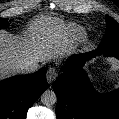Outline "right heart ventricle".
I'll return each mask as SVG.
<instances>
[{"mask_svg": "<svg viewBox=\"0 0 119 119\" xmlns=\"http://www.w3.org/2000/svg\"><path fill=\"white\" fill-rule=\"evenodd\" d=\"M71 33L77 39L82 38V36L84 35V31L81 28L75 26L71 27Z\"/></svg>", "mask_w": 119, "mask_h": 119, "instance_id": "1", "label": "right heart ventricle"}]
</instances>
